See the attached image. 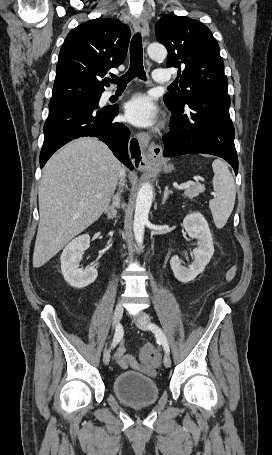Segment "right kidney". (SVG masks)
<instances>
[{
  "mask_svg": "<svg viewBox=\"0 0 272 455\" xmlns=\"http://www.w3.org/2000/svg\"><path fill=\"white\" fill-rule=\"evenodd\" d=\"M90 246V236L83 234L72 240L63 250L61 270L65 281L72 287L84 288L93 283L98 272L94 267L85 270L79 268L82 252Z\"/></svg>",
  "mask_w": 272,
  "mask_h": 455,
  "instance_id": "ca27d5eb",
  "label": "right kidney"
}]
</instances>
